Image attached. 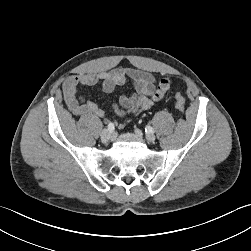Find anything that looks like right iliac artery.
Here are the masks:
<instances>
[{
	"label": "right iliac artery",
	"mask_w": 251,
	"mask_h": 251,
	"mask_svg": "<svg viewBox=\"0 0 251 251\" xmlns=\"http://www.w3.org/2000/svg\"><path fill=\"white\" fill-rule=\"evenodd\" d=\"M108 129H109L110 131H113V130H114V124H113L112 122H110V123L108 124Z\"/></svg>",
	"instance_id": "1"
}]
</instances>
